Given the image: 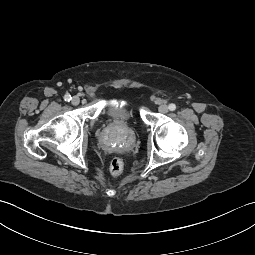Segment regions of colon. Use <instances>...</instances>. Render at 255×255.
Returning a JSON list of instances; mask_svg holds the SVG:
<instances>
[{
	"instance_id": "5ec220e1",
	"label": "colon",
	"mask_w": 255,
	"mask_h": 255,
	"mask_svg": "<svg viewBox=\"0 0 255 255\" xmlns=\"http://www.w3.org/2000/svg\"><path fill=\"white\" fill-rule=\"evenodd\" d=\"M124 171V161L121 157H113L109 163V172L112 176H119Z\"/></svg>"
}]
</instances>
